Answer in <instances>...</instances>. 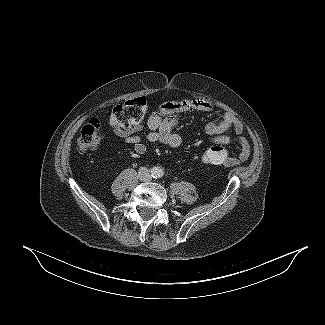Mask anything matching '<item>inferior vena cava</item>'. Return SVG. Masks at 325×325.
<instances>
[{
    "mask_svg": "<svg viewBox=\"0 0 325 325\" xmlns=\"http://www.w3.org/2000/svg\"><path fill=\"white\" fill-rule=\"evenodd\" d=\"M139 178L142 181H148L151 179V175L149 173V170L146 167H142L139 170Z\"/></svg>",
    "mask_w": 325,
    "mask_h": 325,
    "instance_id": "inferior-vena-cava-1",
    "label": "inferior vena cava"
}]
</instances>
